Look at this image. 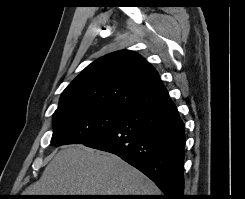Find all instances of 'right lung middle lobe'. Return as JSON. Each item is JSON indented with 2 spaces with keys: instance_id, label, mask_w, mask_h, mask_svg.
<instances>
[{
  "instance_id": "dd1d6c3e",
  "label": "right lung middle lobe",
  "mask_w": 245,
  "mask_h": 199,
  "mask_svg": "<svg viewBox=\"0 0 245 199\" xmlns=\"http://www.w3.org/2000/svg\"><path fill=\"white\" fill-rule=\"evenodd\" d=\"M128 113L95 104L57 109L53 115L55 146L83 144L118 124Z\"/></svg>"
}]
</instances>
